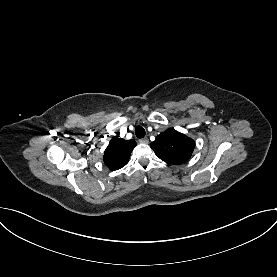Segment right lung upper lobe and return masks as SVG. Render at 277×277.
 Returning a JSON list of instances; mask_svg holds the SVG:
<instances>
[{
	"instance_id": "1",
	"label": "right lung upper lobe",
	"mask_w": 277,
	"mask_h": 277,
	"mask_svg": "<svg viewBox=\"0 0 277 277\" xmlns=\"http://www.w3.org/2000/svg\"><path fill=\"white\" fill-rule=\"evenodd\" d=\"M136 142L114 137L104 152V163L112 171L118 170L128 163Z\"/></svg>"
}]
</instances>
